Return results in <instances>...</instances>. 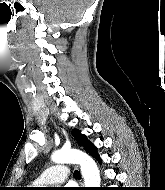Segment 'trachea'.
I'll use <instances>...</instances> for the list:
<instances>
[{
    "label": "trachea",
    "mask_w": 165,
    "mask_h": 190,
    "mask_svg": "<svg viewBox=\"0 0 165 190\" xmlns=\"http://www.w3.org/2000/svg\"><path fill=\"white\" fill-rule=\"evenodd\" d=\"M74 177H75V178H80V172H79L78 170H76V171L74 172Z\"/></svg>",
    "instance_id": "trachea-1"
}]
</instances>
